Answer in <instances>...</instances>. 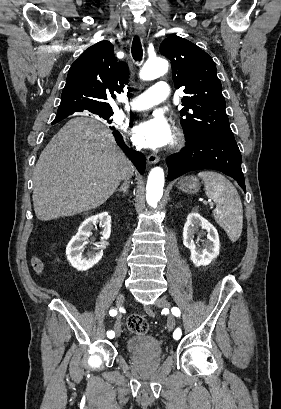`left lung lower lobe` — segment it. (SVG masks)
<instances>
[{"label": "left lung lower lobe", "mask_w": 281, "mask_h": 409, "mask_svg": "<svg viewBox=\"0 0 281 409\" xmlns=\"http://www.w3.org/2000/svg\"><path fill=\"white\" fill-rule=\"evenodd\" d=\"M187 141L188 146L167 161L168 180L192 170L214 169L234 178L246 192L241 153L235 139L203 134Z\"/></svg>", "instance_id": "obj_1"}]
</instances>
